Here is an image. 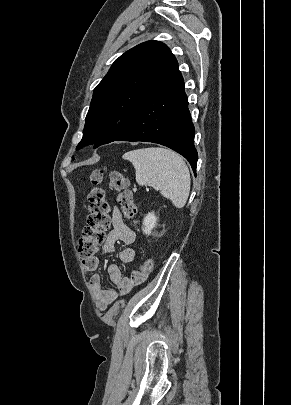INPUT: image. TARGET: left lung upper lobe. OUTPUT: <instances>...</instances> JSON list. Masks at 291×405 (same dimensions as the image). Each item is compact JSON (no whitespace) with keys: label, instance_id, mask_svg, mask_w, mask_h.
I'll return each mask as SVG.
<instances>
[{"label":"left lung upper lobe","instance_id":"left-lung-upper-lobe-1","mask_svg":"<svg viewBox=\"0 0 291 405\" xmlns=\"http://www.w3.org/2000/svg\"><path fill=\"white\" fill-rule=\"evenodd\" d=\"M176 61L159 41L141 43L121 55L94 89L77 149L116 141L128 129L141 100Z\"/></svg>","mask_w":291,"mask_h":405}]
</instances>
